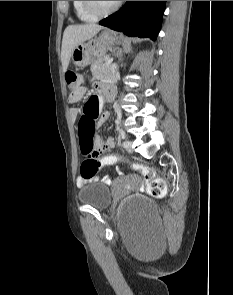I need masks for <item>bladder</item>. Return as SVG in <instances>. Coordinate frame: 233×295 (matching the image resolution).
<instances>
[{"label": "bladder", "instance_id": "31cf9c89", "mask_svg": "<svg viewBox=\"0 0 233 295\" xmlns=\"http://www.w3.org/2000/svg\"><path fill=\"white\" fill-rule=\"evenodd\" d=\"M79 201L98 210H105L112 202V195L107 186L99 182L84 185L78 192ZM122 213H141L148 221L156 217L155 204L143 196H129L121 203Z\"/></svg>", "mask_w": 233, "mask_h": 295}]
</instances>
